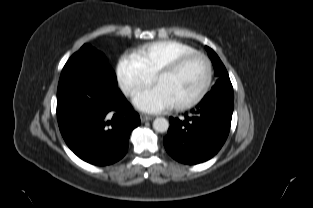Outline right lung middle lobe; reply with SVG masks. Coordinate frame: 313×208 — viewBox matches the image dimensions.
Masks as SVG:
<instances>
[{
	"label": "right lung middle lobe",
	"mask_w": 313,
	"mask_h": 208,
	"mask_svg": "<svg viewBox=\"0 0 313 208\" xmlns=\"http://www.w3.org/2000/svg\"><path fill=\"white\" fill-rule=\"evenodd\" d=\"M80 53H88V54H92L95 55L97 57H99L100 59H102L103 61L106 62L105 58L103 57V55L101 53H99L95 48L91 47L88 44H84L81 49L76 52L75 54H73L70 59L68 60V64L72 63ZM107 63V62H106Z\"/></svg>",
	"instance_id": "right-lung-middle-lobe-1"
}]
</instances>
